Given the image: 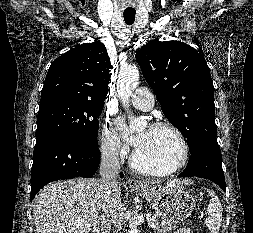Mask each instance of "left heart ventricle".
<instances>
[{"label": "left heart ventricle", "mask_w": 253, "mask_h": 233, "mask_svg": "<svg viewBox=\"0 0 253 233\" xmlns=\"http://www.w3.org/2000/svg\"><path fill=\"white\" fill-rule=\"evenodd\" d=\"M142 143L136 148L138 161L156 170H167L181 158L182 149L176 136L168 130L145 128Z\"/></svg>", "instance_id": "left-heart-ventricle-1"}]
</instances>
